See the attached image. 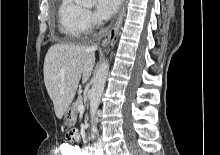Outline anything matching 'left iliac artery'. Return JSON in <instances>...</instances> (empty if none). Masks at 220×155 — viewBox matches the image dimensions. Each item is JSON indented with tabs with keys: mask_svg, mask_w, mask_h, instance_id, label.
Segmentation results:
<instances>
[{
	"mask_svg": "<svg viewBox=\"0 0 220 155\" xmlns=\"http://www.w3.org/2000/svg\"><path fill=\"white\" fill-rule=\"evenodd\" d=\"M98 155H102V152L100 151Z\"/></svg>",
	"mask_w": 220,
	"mask_h": 155,
	"instance_id": "obj_1",
	"label": "left iliac artery"
}]
</instances>
